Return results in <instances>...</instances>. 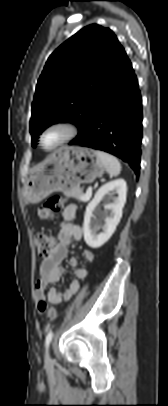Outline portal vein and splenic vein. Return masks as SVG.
I'll return each mask as SVG.
<instances>
[{"label": "portal vein and splenic vein", "instance_id": "obj_1", "mask_svg": "<svg viewBox=\"0 0 168 406\" xmlns=\"http://www.w3.org/2000/svg\"><path fill=\"white\" fill-rule=\"evenodd\" d=\"M91 195H92V188L89 187V188L87 189L86 194H85L84 197H83V201H88V200L90 199Z\"/></svg>", "mask_w": 168, "mask_h": 406}]
</instances>
